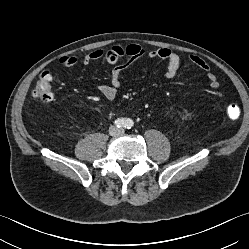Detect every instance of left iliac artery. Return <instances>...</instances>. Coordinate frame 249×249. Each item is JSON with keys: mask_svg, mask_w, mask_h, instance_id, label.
I'll return each mask as SVG.
<instances>
[{"mask_svg": "<svg viewBox=\"0 0 249 249\" xmlns=\"http://www.w3.org/2000/svg\"><path fill=\"white\" fill-rule=\"evenodd\" d=\"M133 124H134V122H133L131 119H127V120H126L125 127H126L127 129H131V128L133 127Z\"/></svg>", "mask_w": 249, "mask_h": 249, "instance_id": "44dca946", "label": "left iliac artery"}]
</instances>
